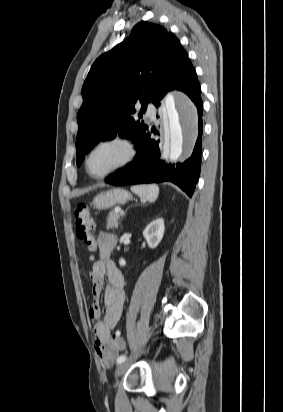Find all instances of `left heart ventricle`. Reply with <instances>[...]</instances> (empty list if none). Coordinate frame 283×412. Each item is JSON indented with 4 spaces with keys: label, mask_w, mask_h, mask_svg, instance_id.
I'll use <instances>...</instances> for the list:
<instances>
[{
    "label": "left heart ventricle",
    "mask_w": 283,
    "mask_h": 412,
    "mask_svg": "<svg viewBox=\"0 0 283 412\" xmlns=\"http://www.w3.org/2000/svg\"><path fill=\"white\" fill-rule=\"evenodd\" d=\"M124 156L125 148L120 144L102 146L92 154L90 170L95 174L103 173L118 164Z\"/></svg>",
    "instance_id": "obj_1"
}]
</instances>
